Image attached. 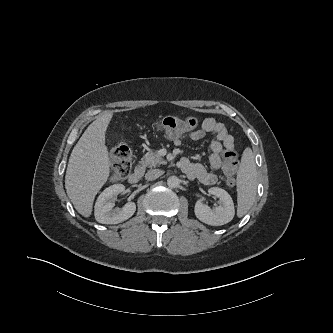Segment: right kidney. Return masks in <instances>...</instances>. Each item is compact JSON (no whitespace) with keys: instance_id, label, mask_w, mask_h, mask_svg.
Instances as JSON below:
<instances>
[{"instance_id":"obj_1","label":"right kidney","mask_w":333,"mask_h":333,"mask_svg":"<svg viewBox=\"0 0 333 333\" xmlns=\"http://www.w3.org/2000/svg\"><path fill=\"white\" fill-rule=\"evenodd\" d=\"M125 190L122 184L106 188L95 203V219L102 224H117L129 219L136 211L134 202H128L121 209H113L114 198Z\"/></svg>"}]
</instances>
